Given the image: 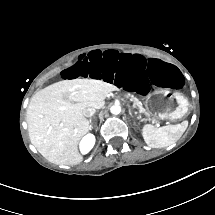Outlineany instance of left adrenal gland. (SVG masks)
Here are the masks:
<instances>
[{
	"label": "left adrenal gland",
	"instance_id": "obj_1",
	"mask_svg": "<svg viewBox=\"0 0 215 215\" xmlns=\"http://www.w3.org/2000/svg\"><path fill=\"white\" fill-rule=\"evenodd\" d=\"M129 114H130L131 118H134V116H133L131 110H129Z\"/></svg>",
	"mask_w": 215,
	"mask_h": 215
}]
</instances>
